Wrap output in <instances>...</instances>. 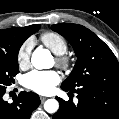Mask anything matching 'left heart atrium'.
Listing matches in <instances>:
<instances>
[{
	"instance_id": "1",
	"label": "left heart atrium",
	"mask_w": 119,
	"mask_h": 119,
	"mask_svg": "<svg viewBox=\"0 0 119 119\" xmlns=\"http://www.w3.org/2000/svg\"><path fill=\"white\" fill-rule=\"evenodd\" d=\"M59 82L60 76L54 70H33L23 79L26 88L40 94L50 93Z\"/></svg>"
}]
</instances>
